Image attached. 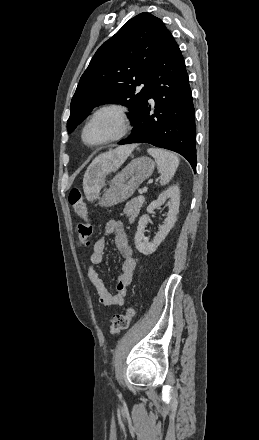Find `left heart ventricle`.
<instances>
[{
  "label": "left heart ventricle",
  "instance_id": "1",
  "mask_svg": "<svg viewBox=\"0 0 259 440\" xmlns=\"http://www.w3.org/2000/svg\"><path fill=\"white\" fill-rule=\"evenodd\" d=\"M119 130L118 120L111 113H104L96 117L85 131V140L97 143L114 136Z\"/></svg>",
  "mask_w": 259,
  "mask_h": 440
}]
</instances>
